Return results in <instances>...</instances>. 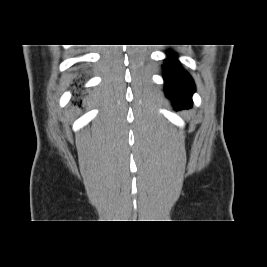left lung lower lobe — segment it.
<instances>
[{"label":"left lung lower lobe","mask_w":267,"mask_h":267,"mask_svg":"<svg viewBox=\"0 0 267 267\" xmlns=\"http://www.w3.org/2000/svg\"><path fill=\"white\" fill-rule=\"evenodd\" d=\"M166 95L176 109L189 107L195 85L190 75L179 65L176 56L169 54L164 65Z\"/></svg>","instance_id":"1"}]
</instances>
